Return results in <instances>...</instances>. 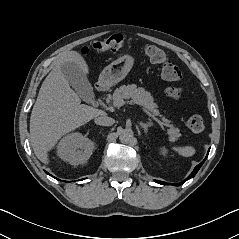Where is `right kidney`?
I'll use <instances>...</instances> for the list:
<instances>
[{"mask_svg":"<svg viewBox=\"0 0 239 239\" xmlns=\"http://www.w3.org/2000/svg\"><path fill=\"white\" fill-rule=\"evenodd\" d=\"M93 150L94 142L78 132L66 135L57 146L58 156L72 165L85 164Z\"/></svg>","mask_w":239,"mask_h":239,"instance_id":"right-kidney-1","label":"right kidney"}]
</instances>
